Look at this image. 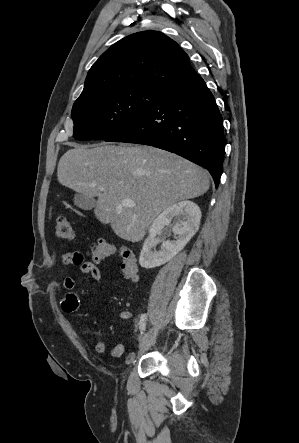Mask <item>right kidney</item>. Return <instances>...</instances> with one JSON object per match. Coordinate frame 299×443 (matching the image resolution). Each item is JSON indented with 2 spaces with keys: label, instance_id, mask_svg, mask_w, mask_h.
<instances>
[{
  "label": "right kidney",
  "instance_id": "right-kidney-1",
  "mask_svg": "<svg viewBox=\"0 0 299 443\" xmlns=\"http://www.w3.org/2000/svg\"><path fill=\"white\" fill-rule=\"evenodd\" d=\"M201 211L192 201H181L167 207L153 221L145 239L139 263L150 269L163 265L177 255L199 229ZM172 222L174 240H158L165 226ZM160 244L159 249L156 246Z\"/></svg>",
  "mask_w": 299,
  "mask_h": 443
}]
</instances>
